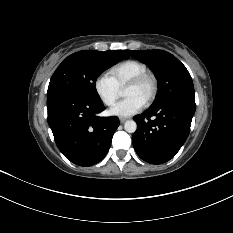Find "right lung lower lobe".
Listing matches in <instances>:
<instances>
[{"label": "right lung lower lobe", "instance_id": "obj_1", "mask_svg": "<svg viewBox=\"0 0 233 233\" xmlns=\"http://www.w3.org/2000/svg\"><path fill=\"white\" fill-rule=\"evenodd\" d=\"M48 124L59 150L74 164L91 166L107 154L117 117H99L105 107L71 94L47 96Z\"/></svg>", "mask_w": 233, "mask_h": 233}]
</instances>
